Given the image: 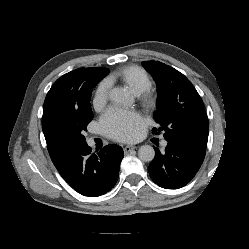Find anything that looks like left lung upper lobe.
<instances>
[{
  "mask_svg": "<svg viewBox=\"0 0 249 249\" xmlns=\"http://www.w3.org/2000/svg\"><path fill=\"white\" fill-rule=\"evenodd\" d=\"M144 68L157 84V111L154 119L169 142L206 149L209 122L204 104L192 83L176 69L158 62L144 61ZM157 129L153 128L155 132Z\"/></svg>",
  "mask_w": 249,
  "mask_h": 249,
  "instance_id": "obj_1",
  "label": "left lung upper lobe"
}]
</instances>
